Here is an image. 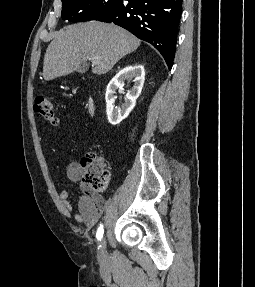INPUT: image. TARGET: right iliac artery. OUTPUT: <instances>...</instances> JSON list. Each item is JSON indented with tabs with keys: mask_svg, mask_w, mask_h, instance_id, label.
I'll return each mask as SVG.
<instances>
[{
	"mask_svg": "<svg viewBox=\"0 0 255 287\" xmlns=\"http://www.w3.org/2000/svg\"><path fill=\"white\" fill-rule=\"evenodd\" d=\"M103 232H104L103 225H100V227L97 230V234H96V237L98 240H101L103 236Z\"/></svg>",
	"mask_w": 255,
	"mask_h": 287,
	"instance_id": "obj_1",
	"label": "right iliac artery"
}]
</instances>
